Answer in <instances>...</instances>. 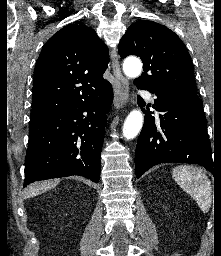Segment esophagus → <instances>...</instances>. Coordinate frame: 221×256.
Segmentation results:
<instances>
[{
    "mask_svg": "<svg viewBox=\"0 0 221 256\" xmlns=\"http://www.w3.org/2000/svg\"><path fill=\"white\" fill-rule=\"evenodd\" d=\"M111 59L116 80L114 86V106L116 109H119L128 102L129 85L127 79L121 73L118 55L115 49L111 52Z\"/></svg>",
    "mask_w": 221,
    "mask_h": 256,
    "instance_id": "obj_1",
    "label": "esophagus"
}]
</instances>
